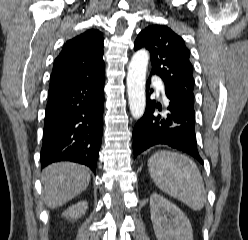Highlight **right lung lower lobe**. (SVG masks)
Instances as JSON below:
<instances>
[{
	"instance_id": "obj_1",
	"label": "right lung lower lobe",
	"mask_w": 248,
	"mask_h": 240,
	"mask_svg": "<svg viewBox=\"0 0 248 240\" xmlns=\"http://www.w3.org/2000/svg\"><path fill=\"white\" fill-rule=\"evenodd\" d=\"M104 82L102 74L49 90L42 167L56 161H73L95 173L103 132Z\"/></svg>"
}]
</instances>
